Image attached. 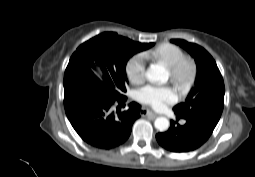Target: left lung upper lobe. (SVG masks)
<instances>
[{
    "instance_id": "5c2ea615",
    "label": "left lung upper lobe",
    "mask_w": 255,
    "mask_h": 177,
    "mask_svg": "<svg viewBox=\"0 0 255 177\" xmlns=\"http://www.w3.org/2000/svg\"><path fill=\"white\" fill-rule=\"evenodd\" d=\"M195 59L197 75L195 84L185 102L176 105L174 112L183 118H191L217 125L224 107L225 87L221 73L213 57L201 46L181 39H172Z\"/></svg>"
}]
</instances>
